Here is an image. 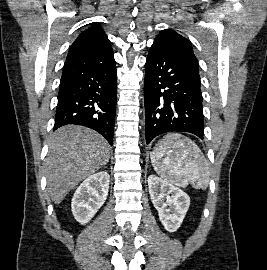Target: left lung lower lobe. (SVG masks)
Listing matches in <instances>:
<instances>
[{
  "label": "left lung lower lobe",
  "mask_w": 267,
  "mask_h": 270,
  "mask_svg": "<svg viewBox=\"0 0 267 270\" xmlns=\"http://www.w3.org/2000/svg\"><path fill=\"white\" fill-rule=\"evenodd\" d=\"M199 70L173 52L153 44L144 82L145 136L149 144L167 132L204 136Z\"/></svg>",
  "instance_id": "1"
}]
</instances>
